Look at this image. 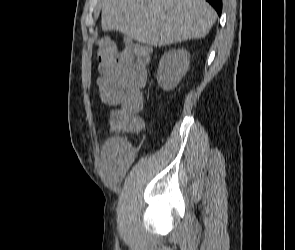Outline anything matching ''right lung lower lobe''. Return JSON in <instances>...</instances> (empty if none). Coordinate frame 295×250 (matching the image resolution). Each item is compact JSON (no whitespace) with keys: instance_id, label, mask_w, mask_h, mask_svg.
<instances>
[{"instance_id":"98d812e1","label":"right lung lower lobe","mask_w":295,"mask_h":250,"mask_svg":"<svg viewBox=\"0 0 295 250\" xmlns=\"http://www.w3.org/2000/svg\"><path fill=\"white\" fill-rule=\"evenodd\" d=\"M209 2L217 11L218 15H221L222 12V0H206Z\"/></svg>"}]
</instances>
